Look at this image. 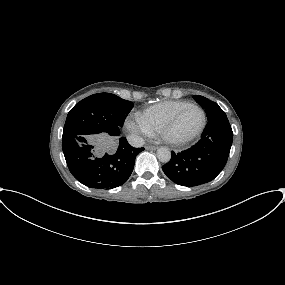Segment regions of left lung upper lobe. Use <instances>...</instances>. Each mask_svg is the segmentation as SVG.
Listing matches in <instances>:
<instances>
[{"label": "left lung upper lobe", "instance_id": "left-lung-upper-lobe-1", "mask_svg": "<svg viewBox=\"0 0 285 285\" xmlns=\"http://www.w3.org/2000/svg\"><path fill=\"white\" fill-rule=\"evenodd\" d=\"M194 99L203 109H205L208 120L216 117L226 116L224 111L217 103L199 95H195Z\"/></svg>", "mask_w": 285, "mask_h": 285}]
</instances>
